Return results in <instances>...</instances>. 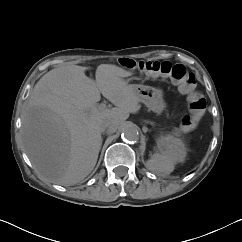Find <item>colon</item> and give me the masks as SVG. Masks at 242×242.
I'll list each match as a JSON object with an SVG mask.
<instances>
[{"label":"colon","instance_id":"obj_1","mask_svg":"<svg viewBox=\"0 0 242 242\" xmlns=\"http://www.w3.org/2000/svg\"><path fill=\"white\" fill-rule=\"evenodd\" d=\"M120 64L129 69H137L152 77L168 78L179 90L187 95L189 112L183 117L181 128H194L203 116L206 101L196 90L195 76L183 64H172L168 61L134 60L121 58Z\"/></svg>","mask_w":242,"mask_h":242}]
</instances>
